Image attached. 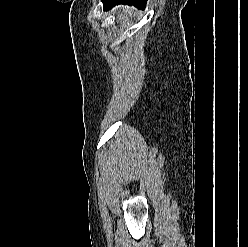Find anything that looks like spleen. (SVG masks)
<instances>
[{"label": "spleen", "mask_w": 248, "mask_h": 247, "mask_svg": "<svg viewBox=\"0 0 248 247\" xmlns=\"http://www.w3.org/2000/svg\"><path fill=\"white\" fill-rule=\"evenodd\" d=\"M127 13H132V11L131 10H128V9H124L123 12L121 13V18H123L124 15L127 14Z\"/></svg>", "instance_id": "3e777b00"}]
</instances>
